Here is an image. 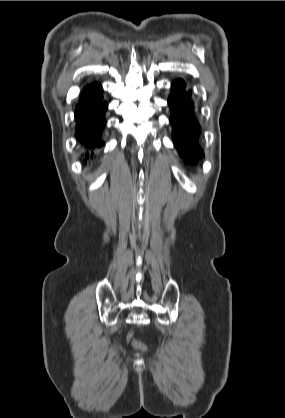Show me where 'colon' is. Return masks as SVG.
I'll use <instances>...</instances> for the list:
<instances>
[{"label":"colon","instance_id":"1","mask_svg":"<svg viewBox=\"0 0 285 418\" xmlns=\"http://www.w3.org/2000/svg\"><path fill=\"white\" fill-rule=\"evenodd\" d=\"M130 341H131L132 345L134 347L138 348V349H143L145 347V344H144L143 341H141V340H139V339H137L133 336H130Z\"/></svg>","mask_w":285,"mask_h":418}]
</instances>
